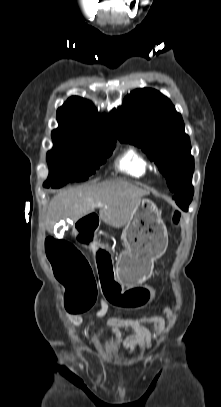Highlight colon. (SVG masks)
<instances>
[{
  "label": "colon",
  "instance_id": "obj_1",
  "mask_svg": "<svg viewBox=\"0 0 221 407\" xmlns=\"http://www.w3.org/2000/svg\"><path fill=\"white\" fill-rule=\"evenodd\" d=\"M97 212L89 210L87 216H77L72 227L77 239H100ZM182 212L176 209L172 216L175 226L180 224ZM45 249L57 279L65 287V300L69 312L80 314L89 310L97 297V281L85 256L72 243L50 237ZM97 270L100 286L108 306L115 311H143L158 300L157 283H131L124 291L115 279L113 263L105 252L97 254Z\"/></svg>",
  "mask_w": 221,
  "mask_h": 407
}]
</instances>
